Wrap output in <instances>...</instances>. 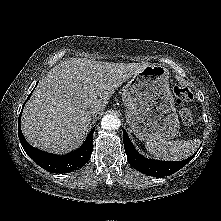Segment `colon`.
<instances>
[{
  "label": "colon",
  "instance_id": "colon-1",
  "mask_svg": "<svg viewBox=\"0 0 221 221\" xmlns=\"http://www.w3.org/2000/svg\"><path fill=\"white\" fill-rule=\"evenodd\" d=\"M174 94L179 104L184 105L193 100V92L185 85H176L174 87ZM181 120L184 124L190 125L193 122L192 113L188 109L181 110Z\"/></svg>",
  "mask_w": 221,
  "mask_h": 221
}]
</instances>
